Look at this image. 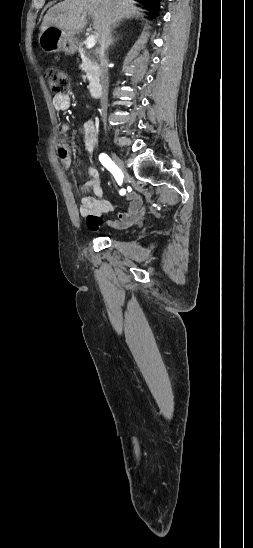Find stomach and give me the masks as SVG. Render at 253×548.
I'll return each mask as SVG.
<instances>
[{"label":"stomach","instance_id":"0dacf381","mask_svg":"<svg viewBox=\"0 0 253 548\" xmlns=\"http://www.w3.org/2000/svg\"><path fill=\"white\" fill-rule=\"evenodd\" d=\"M38 43L46 53L64 52L73 54L76 51L74 38L67 37L63 30L54 26H50L40 33Z\"/></svg>","mask_w":253,"mask_h":548}]
</instances>
